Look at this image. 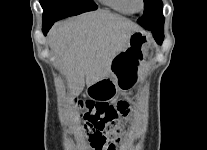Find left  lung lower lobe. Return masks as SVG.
I'll return each mask as SVG.
<instances>
[{
  "instance_id": "0a47b994",
  "label": "left lung lower lobe",
  "mask_w": 207,
  "mask_h": 150,
  "mask_svg": "<svg viewBox=\"0 0 207 150\" xmlns=\"http://www.w3.org/2000/svg\"><path fill=\"white\" fill-rule=\"evenodd\" d=\"M156 42L158 44H162L163 38H164V33L163 31H156V32H152Z\"/></svg>"
}]
</instances>
